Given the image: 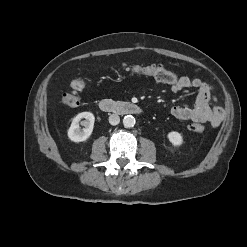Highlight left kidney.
Wrapping results in <instances>:
<instances>
[{
    "label": "left kidney",
    "instance_id": "1",
    "mask_svg": "<svg viewBox=\"0 0 247 247\" xmlns=\"http://www.w3.org/2000/svg\"><path fill=\"white\" fill-rule=\"evenodd\" d=\"M167 137L173 146H180L183 143L182 135L179 132H169Z\"/></svg>",
    "mask_w": 247,
    "mask_h": 247
}]
</instances>
